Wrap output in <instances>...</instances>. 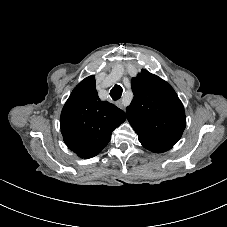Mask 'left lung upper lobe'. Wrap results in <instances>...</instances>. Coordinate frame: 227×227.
<instances>
[{
    "label": "left lung upper lobe",
    "mask_w": 227,
    "mask_h": 227,
    "mask_svg": "<svg viewBox=\"0 0 227 227\" xmlns=\"http://www.w3.org/2000/svg\"><path fill=\"white\" fill-rule=\"evenodd\" d=\"M131 85L134 98L126 114L134 130H145L176 144L185 129L186 116L174 89L145 69L132 78Z\"/></svg>",
    "instance_id": "5c2ea615"
}]
</instances>
